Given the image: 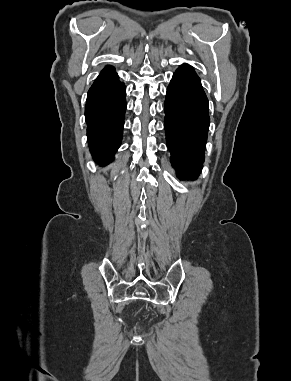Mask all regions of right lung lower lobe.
<instances>
[{
	"label": "right lung lower lobe",
	"mask_w": 291,
	"mask_h": 381,
	"mask_svg": "<svg viewBox=\"0 0 291 381\" xmlns=\"http://www.w3.org/2000/svg\"><path fill=\"white\" fill-rule=\"evenodd\" d=\"M126 89L114 67L106 66L88 91L85 119L93 159L106 165L122 140Z\"/></svg>",
	"instance_id": "1"
}]
</instances>
